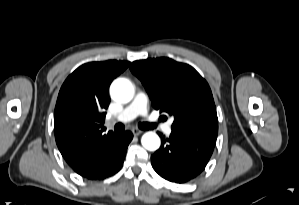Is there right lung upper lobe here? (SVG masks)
<instances>
[{
  "label": "right lung upper lobe",
  "mask_w": 299,
  "mask_h": 205,
  "mask_svg": "<svg viewBox=\"0 0 299 205\" xmlns=\"http://www.w3.org/2000/svg\"><path fill=\"white\" fill-rule=\"evenodd\" d=\"M129 64L115 60L86 63L63 83L54 112V132L57 146L72 168L115 135L103 134L104 110L110 103L108 88Z\"/></svg>",
  "instance_id": "right-lung-upper-lobe-1"
}]
</instances>
